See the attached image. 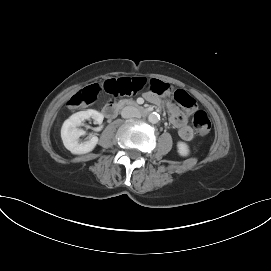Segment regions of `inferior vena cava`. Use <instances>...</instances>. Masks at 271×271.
Returning a JSON list of instances; mask_svg holds the SVG:
<instances>
[{
    "label": "inferior vena cava",
    "mask_w": 271,
    "mask_h": 271,
    "mask_svg": "<svg viewBox=\"0 0 271 271\" xmlns=\"http://www.w3.org/2000/svg\"><path fill=\"white\" fill-rule=\"evenodd\" d=\"M121 115L123 118L140 117L139 111L133 106H126L122 109Z\"/></svg>",
    "instance_id": "602c4592"
}]
</instances>
